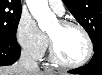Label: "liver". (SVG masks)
Segmentation results:
<instances>
[{"label":"liver","mask_w":102,"mask_h":75,"mask_svg":"<svg viewBox=\"0 0 102 75\" xmlns=\"http://www.w3.org/2000/svg\"><path fill=\"white\" fill-rule=\"evenodd\" d=\"M0 75H47L44 72L30 71L26 70L24 67H21L18 63L13 64L12 66H5L0 68Z\"/></svg>","instance_id":"1"}]
</instances>
